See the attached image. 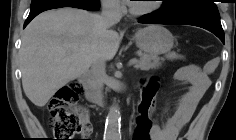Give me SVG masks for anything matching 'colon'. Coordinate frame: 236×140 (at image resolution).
Wrapping results in <instances>:
<instances>
[{
  "label": "colon",
  "mask_w": 236,
  "mask_h": 140,
  "mask_svg": "<svg viewBox=\"0 0 236 140\" xmlns=\"http://www.w3.org/2000/svg\"><path fill=\"white\" fill-rule=\"evenodd\" d=\"M158 84L155 80L144 83L137 112L133 120L131 140H151L152 113ZM82 88L77 82L62 86L50 100L48 110L55 140H72L86 123V112L78 105ZM183 140V138H179Z\"/></svg>",
  "instance_id": "colon-1"
}]
</instances>
